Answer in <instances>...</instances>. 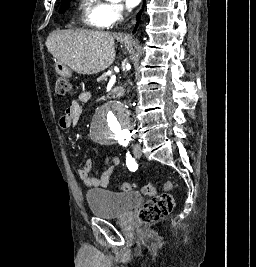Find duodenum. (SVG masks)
I'll return each instance as SVG.
<instances>
[{"label": "duodenum", "mask_w": 256, "mask_h": 267, "mask_svg": "<svg viewBox=\"0 0 256 267\" xmlns=\"http://www.w3.org/2000/svg\"><path fill=\"white\" fill-rule=\"evenodd\" d=\"M55 70L57 71V73H59V75H62V79H70L69 73L71 72V69L68 68V66H56ZM105 93L107 94V99H111L112 101L118 100V96L114 94L113 89H106Z\"/></svg>", "instance_id": "obj_1"}]
</instances>
